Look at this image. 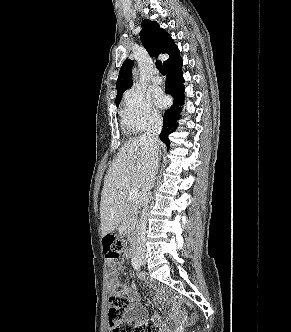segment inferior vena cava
<instances>
[{
    "label": "inferior vena cava",
    "instance_id": "inferior-vena-cava-1",
    "mask_svg": "<svg viewBox=\"0 0 291 332\" xmlns=\"http://www.w3.org/2000/svg\"><path fill=\"white\" fill-rule=\"evenodd\" d=\"M163 121L160 117H153L147 131L140 137V140L145 144L148 156V171L146 180L144 182L142 191L143 199L141 218L137 226V253L143 255L145 253V236L147 226V210L150 203V190L152 189L158 167H159V146L158 136L162 131Z\"/></svg>",
    "mask_w": 291,
    "mask_h": 332
}]
</instances>
